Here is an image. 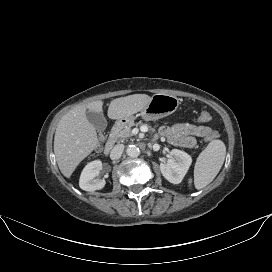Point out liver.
Returning a JSON list of instances; mask_svg holds the SVG:
<instances>
[{
    "mask_svg": "<svg viewBox=\"0 0 272 272\" xmlns=\"http://www.w3.org/2000/svg\"><path fill=\"white\" fill-rule=\"evenodd\" d=\"M151 97L133 94L116 98L108 107L110 119L132 116L147 106ZM103 112V101L78 105L59 121L54 136V153L61 173L70 178L79 163L98 145L94 126L88 121L86 111Z\"/></svg>",
    "mask_w": 272,
    "mask_h": 272,
    "instance_id": "6515ba94",
    "label": "liver"
}]
</instances>
